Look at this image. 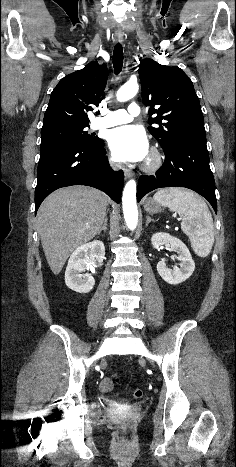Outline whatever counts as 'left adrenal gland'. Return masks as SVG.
I'll return each mask as SVG.
<instances>
[{
	"label": "left adrenal gland",
	"mask_w": 236,
	"mask_h": 467,
	"mask_svg": "<svg viewBox=\"0 0 236 467\" xmlns=\"http://www.w3.org/2000/svg\"><path fill=\"white\" fill-rule=\"evenodd\" d=\"M150 222H155V220L151 219L150 216H146V226H148Z\"/></svg>",
	"instance_id": "obj_1"
}]
</instances>
